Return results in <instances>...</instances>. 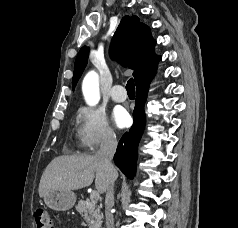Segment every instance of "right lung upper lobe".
<instances>
[{
  "label": "right lung upper lobe",
  "mask_w": 238,
  "mask_h": 228,
  "mask_svg": "<svg viewBox=\"0 0 238 228\" xmlns=\"http://www.w3.org/2000/svg\"><path fill=\"white\" fill-rule=\"evenodd\" d=\"M156 41L152 38L147 25L137 16H124L111 41V55L123 66L134 70L136 85L152 75L161 59L154 54ZM89 49H80L74 65L72 86L75 87L88 59Z\"/></svg>",
  "instance_id": "cb5924a9"
}]
</instances>
